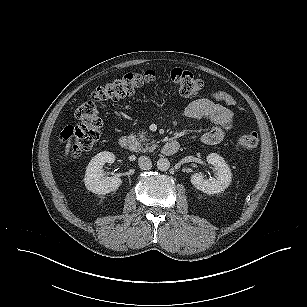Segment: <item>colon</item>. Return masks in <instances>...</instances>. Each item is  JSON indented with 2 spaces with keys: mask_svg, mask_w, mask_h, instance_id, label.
I'll list each match as a JSON object with an SVG mask.
<instances>
[{
  "mask_svg": "<svg viewBox=\"0 0 307 307\" xmlns=\"http://www.w3.org/2000/svg\"><path fill=\"white\" fill-rule=\"evenodd\" d=\"M157 82H168L184 97H192L203 88L202 80L193 73L175 68L165 74L153 70L141 73H127L97 87L76 110V118L80 121L77 126H71L62 132L63 142L69 144L72 156H80L92 149L101 135L103 125L97 105L102 102L116 101L138 94L143 88ZM259 145L256 133L238 134L235 147L254 149Z\"/></svg>",
  "mask_w": 307,
  "mask_h": 307,
  "instance_id": "colon-1",
  "label": "colon"
}]
</instances>
